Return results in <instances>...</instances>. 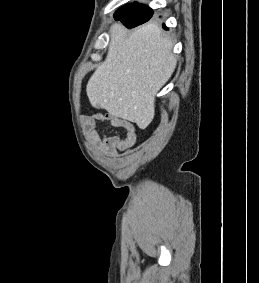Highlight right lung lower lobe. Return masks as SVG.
Listing matches in <instances>:
<instances>
[{"instance_id":"1","label":"right lung lower lobe","mask_w":259,"mask_h":283,"mask_svg":"<svg viewBox=\"0 0 259 283\" xmlns=\"http://www.w3.org/2000/svg\"><path fill=\"white\" fill-rule=\"evenodd\" d=\"M153 15V11L148 6L142 4L126 5L114 14L115 20H120L127 28H134L147 22ZM167 30L166 26L163 25Z\"/></svg>"}]
</instances>
